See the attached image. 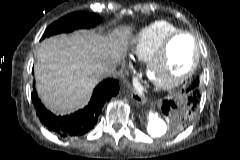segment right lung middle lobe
<instances>
[{
    "label": "right lung middle lobe",
    "mask_w": 240,
    "mask_h": 160,
    "mask_svg": "<svg viewBox=\"0 0 240 160\" xmlns=\"http://www.w3.org/2000/svg\"><path fill=\"white\" fill-rule=\"evenodd\" d=\"M100 22L99 16L87 12H75L62 17L52 23L45 31L42 38L61 32H71L77 28L94 27Z\"/></svg>",
    "instance_id": "obj_1"
}]
</instances>
